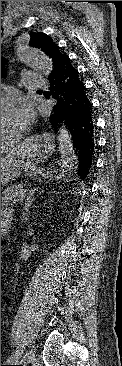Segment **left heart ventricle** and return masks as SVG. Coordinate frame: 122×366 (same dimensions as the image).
<instances>
[{"instance_id": "obj_1", "label": "left heart ventricle", "mask_w": 122, "mask_h": 366, "mask_svg": "<svg viewBox=\"0 0 122 366\" xmlns=\"http://www.w3.org/2000/svg\"><path fill=\"white\" fill-rule=\"evenodd\" d=\"M21 118L18 114L17 102L1 107V138L18 134Z\"/></svg>"}]
</instances>
